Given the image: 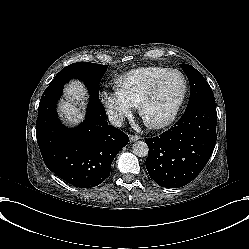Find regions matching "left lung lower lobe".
Segmentation results:
<instances>
[{
    "instance_id": "obj_1",
    "label": "left lung lower lobe",
    "mask_w": 249,
    "mask_h": 249,
    "mask_svg": "<svg viewBox=\"0 0 249 249\" xmlns=\"http://www.w3.org/2000/svg\"><path fill=\"white\" fill-rule=\"evenodd\" d=\"M215 100L187 107L159 137L145 139L148 173L159 186L178 188L191 182L207 164L216 142Z\"/></svg>"
}]
</instances>
